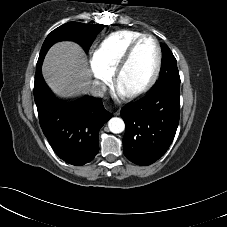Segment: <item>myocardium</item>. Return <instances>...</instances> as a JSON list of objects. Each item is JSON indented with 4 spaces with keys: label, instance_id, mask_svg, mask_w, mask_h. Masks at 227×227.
Returning a JSON list of instances; mask_svg holds the SVG:
<instances>
[{
    "label": "myocardium",
    "instance_id": "myocardium-1",
    "mask_svg": "<svg viewBox=\"0 0 227 227\" xmlns=\"http://www.w3.org/2000/svg\"><path fill=\"white\" fill-rule=\"evenodd\" d=\"M152 39L153 42L156 45V49H157V62H156V66L155 69L152 73V75L149 77V79L143 83L141 86L134 88L130 91L127 92H123L122 93L129 98H134L136 96L141 95L142 93H144L145 91H147L157 80L159 74H160V70L162 67V59H163V55H162V49L160 46V43L158 41V39L151 35V34H142L139 37H137L135 40H133L131 42V44L128 46V48L126 49L125 53L123 54V56L121 57L120 61L118 62L114 72H113V79H114V84L115 86L119 89V80L121 75L123 74V72L125 71V69L127 68L133 53L136 49V47L138 46V44L146 39Z\"/></svg>",
    "mask_w": 227,
    "mask_h": 227
}]
</instances>
